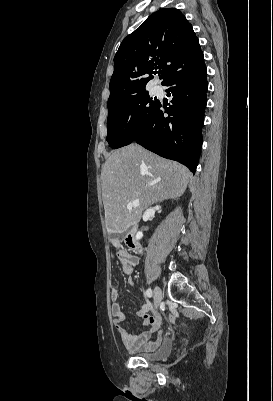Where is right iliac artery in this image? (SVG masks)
<instances>
[{
	"label": "right iliac artery",
	"mask_w": 273,
	"mask_h": 401,
	"mask_svg": "<svg viewBox=\"0 0 273 401\" xmlns=\"http://www.w3.org/2000/svg\"><path fill=\"white\" fill-rule=\"evenodd\" d=\"M146 295L150 298V297H152V290L149 288L147 291H146Z\"/></svg>",
	"instance_id": "right-iliac-artery-1"
}]
</instances>
